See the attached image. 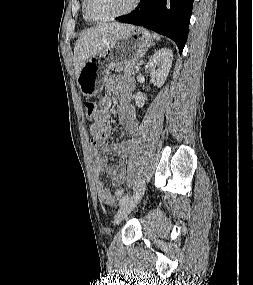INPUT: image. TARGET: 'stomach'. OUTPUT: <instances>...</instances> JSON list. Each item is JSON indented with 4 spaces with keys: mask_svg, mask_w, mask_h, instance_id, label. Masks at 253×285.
<instances>
[{
    "mask_svg": "<svg viewBox=\"0 0 253 285\" xmlns=\"http://www.w3.org/2000/svg\"><path fill=\"white\" fill-rule=\"evenodd\" d=\"M153 44V35L141 27H133L104 51L90 58L77 75V85L83 96L98 95L111 70L137 62Z\"/></svg>",
    "mask_w": 253,
    "mask_h": 285,
    "instance_id": "0dacf381",
    "label": "stomach"
}]
</instances>
